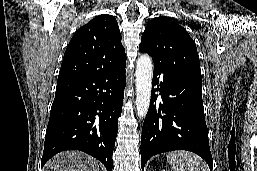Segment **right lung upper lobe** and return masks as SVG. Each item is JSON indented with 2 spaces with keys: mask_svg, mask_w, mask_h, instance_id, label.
I'll use <instances>...</instances> for the list:
<instances>
[{
  "mask_svg": "<svg viewBox=\"0 0 257 171\" xmlns=\"http://www.w3.org/2000/svg\"><path fill=\"white\" fill-rule=\"evenodd\" d=\"M126 62L116 19L107 14L79 28L64 53L58 80L84 77Z\"/></svg>",
  "mask_w": 257,
  "mask_h": 171,
  "instance_id": "obj_1",
  "label": "right lung upper lobe"
}]
</instances>
